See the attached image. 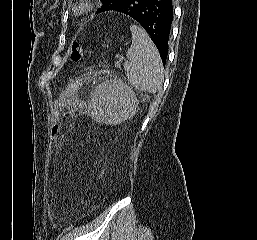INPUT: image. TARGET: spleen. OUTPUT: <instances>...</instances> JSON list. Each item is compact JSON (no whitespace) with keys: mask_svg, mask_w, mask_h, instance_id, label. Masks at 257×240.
Here are the masks:
<instances>
[{"mask_svg":"<svg viewBox=\"0 0 257 240\" xmlns=\"http://www.w3.org/2000/svg\"><path fill=\"white\" fill-rule=\"evenodd\" d=\"M132 44L126 56V72L130 84L148 93L162 90L164 70L160 54L149 35L136 25L130 26Z\"/></svg>","mask_w":257,"mask_h":240,"instance_id":"obj_1","label":"spleen"}]
</instances>
